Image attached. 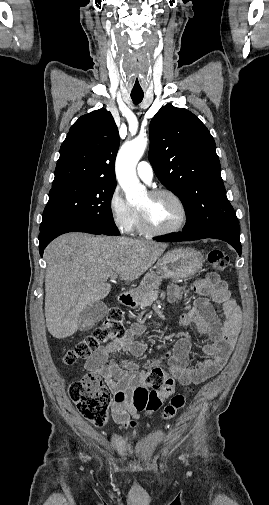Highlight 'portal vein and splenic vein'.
Instances as JSON below:
<instances>
[{"mask_svg": "<svg viewBox=\"0 0 269 505\" xmlns=\"http://www.w3.org/2000/svg\"><path fill=\"white\" fill-rule=\"evenodd\" d=\"M116 277H117V276H115V275L111 276V277H110V278H111V281H114V280L116 279Z\"/></svg>", "mask_w": 269, "mask_h": 505, "instance_id": "obj_1", "label": "portal vein and splenic vein"}]
</instances>
